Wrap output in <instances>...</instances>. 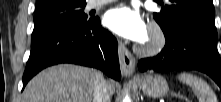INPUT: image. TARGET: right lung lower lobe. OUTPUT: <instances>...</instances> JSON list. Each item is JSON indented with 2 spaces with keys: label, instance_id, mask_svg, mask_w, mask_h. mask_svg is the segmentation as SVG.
I'll return each instance as SVG.
<instances>
[{
  "label": "right lung lower lobe",
  "instance_id": "98d812e1",
  "mask_svg": "<svg viewBox=\"0 0 221 102\" xmlns=\"http://www.w3.org/2000/svg\"><path fill=\"white\" fill-rule=\"evenodd\" d=\"M59 63L96 67L115 80L121 78L117 41L101 27L99 18L60 27L34 42L23 75V87L39 71Z\"/></svg>",
  "mask_w": 221,
  "mask_h": 102
}]
</instances>
